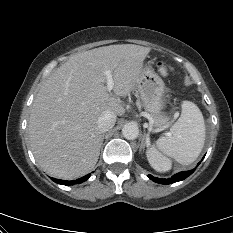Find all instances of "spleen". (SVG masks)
Listing matches in <instances>:
<instances>
[{
	"label": "spleen",
	"instance_id": "1",
	"mask_svg": "<svg viewBox=\"0 0 233 233\" xmlns=\"http://www.w3.org/2000/svg\"><path fill=\"white\" fill-rule=\"evenodd\" d=\"M182 112L170 128L169 135L156 141V147L147 151L150 165L159 172L171 169L175 159L182 165L193 163L200 155L205 143V123L200 109L190 101L182 102Z\"/></svg>",
	"mask_w": 233,
	"mask_h": 233
}]
</instances>
